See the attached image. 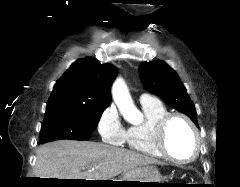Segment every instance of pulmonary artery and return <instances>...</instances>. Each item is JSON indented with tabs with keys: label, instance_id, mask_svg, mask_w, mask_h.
<instances>
[{
	"label": "pulmonary artery",
	"instance_id": "e3ab8cb5",
	"mask_svg": "<svg viewBox=\"0 0 240 187\" xmlns=\"http://www.w3.org/2000/svg\"><path fill=\"white\" fill-rule=\"evenodd\" d=\"M153 101H156L155 98L149 94L144 93L140 96L141 103H148V102H153Z\"/></svg>",
	"mask_w": 240,
	"mask_h": 187
}]
</instances>
